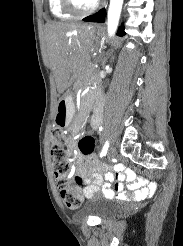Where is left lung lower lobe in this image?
Here are the masks:
<instances>
[{"label":"left lung lower lobe","mask_w":183,"mask_h":246,"mask_svg":"<svg viewBox=\"0 0 183 246\" xmlns=\"http://www.w3.org/2000/svg\"><path fill=\"white\" fill-rule=\"evenodd\" d=\"M83 20L87 21V22H100V23H103L105 21V9H101L97 13H95V14H93L91 16H88V17L84 18ZM117 35H119V36L125 35L124 27H121L119 29Z\"/></svg>","instance_id":"left-lung-lower-lobe-1"}]
</instances>
